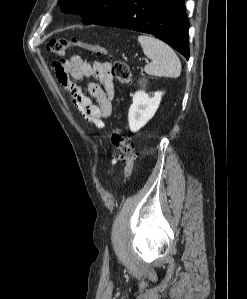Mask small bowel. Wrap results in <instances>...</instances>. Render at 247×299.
Wrapping results in <instances>:
<instances>
[{"label":"small bowel","mask_w":247,"mask_h":299,"mask_svg":"<svg viewBox=\"0 0 247 299\" xmlns=\"http://www.w3.org/2000/svg\"><path fill=\"white\" fill-rule=\"evenodd\" d=\"M53 68L59 83L69 92L72 103L84 118L97 128H104V120L111 116L115 95L110 64L103 61L88 62L80 57H73L57 60ZM89 77L95 78L99 83L87 82V95L79 82ZM116 161L115 155L112 154V164Z\"/></svg>","instance_id":"c3829d8e"}]
</instances>
